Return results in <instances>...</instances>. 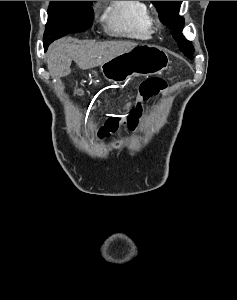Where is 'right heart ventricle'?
Here are the masks:
<instances>
[{
    "label": "right heart ventricle",
    "mask_w": 237,
    "mask_h": 300,
    "mask_svg": "<svg viewBox=\"0 0 237 300\" xmlns=\"http://www.w3.org/2000/svg\"><path fill=\"white\" fill-rule=\"evenodd\" d=\"M105 25L113 33L148 38L151 35L149 8L144 1H110Z\"/></svg>",
    "instance_id": "e07e8e85"
}]
</instances>
